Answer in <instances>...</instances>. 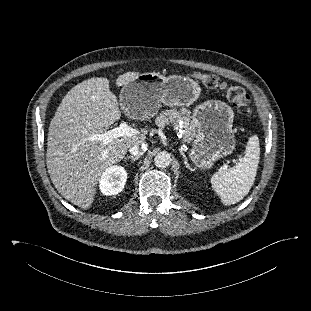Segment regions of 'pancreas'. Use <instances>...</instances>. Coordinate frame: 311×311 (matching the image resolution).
I'll return each instance as SVG.
<instances>
[{
  "mask_svg": "<svg viewBox=\"0 0 311 311\" xmlns=\"http://www.w3.org/2000/svg\"><path fill=\"white\" fill-rule=\"evenodd\" d=\"M155 123L159 127L173 123L176 129L181 130L182 139L187 143H190L197 135L196 126L194 122H190V116L186 110H164L156 117Z\"/></svg>",
  "mask_w": 311,
  "mask_h": 311,
  "instance_id": "pancreas-1",
  "label": "pancreas"
}]
</instances>
